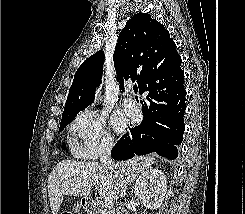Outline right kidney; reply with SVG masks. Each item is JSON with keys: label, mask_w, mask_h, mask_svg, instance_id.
Instances as JSON below:
<instances>
[{"label": "right kidney", "mask_w": 245, "mask_h": 214, "mask_svg": "<svg viewBox=\"0 0 245 214\" xmlns=\"http://www.w3.org/2000/svg\"><path fill=\"white\" fill-rule=\"evenodd\" d=\"M167 191L166 177L161 170L150 169L143 172L136 181L134 193L142 200L144 207L158 209Z\"/></svg>", "instance_id": "ca27d5eb"}]
</instances>
